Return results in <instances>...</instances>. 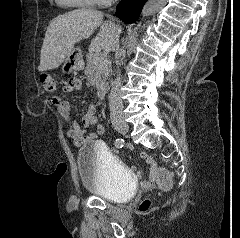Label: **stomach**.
I'll return each mask as SVG.
<instances>
[{"instance_id": "1", "label": "stomach", "mask_w": 240, "mask_h": 238, "mask_svg": "<svg viewBox=\"0 0 240 238\" xmlns=\"http://www.w3.org/2000/svg\"><path fill=\"white\" fill-rule=\"evenodd\" d=\"M84 62L82 53L79 48H74L72 52L66 57L62 65L63 73H71L72 71L82 70Z\"/></svg>"}]
</instances>
